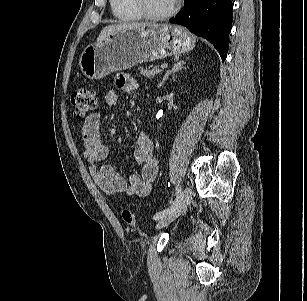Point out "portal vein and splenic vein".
<instances>
[{"label": "portal vein and splenic vein", "mask_w": 307, "mask_h": 301, "mask_svg": "<svg viewBox=\"0 0 307 301\" xmlns=\"http://www.w3.org/2000/svg\"><path fill=\"white\" fill-rule=\"evenodd\" d=\"M167 68V64H162L161 65V69H166Z\"/></svg>", "instance_id": "obj_1"}]
</instances>
